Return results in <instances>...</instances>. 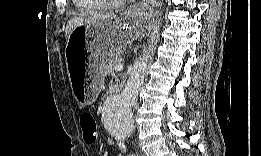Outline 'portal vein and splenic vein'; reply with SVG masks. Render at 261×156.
<instances>
[{
	"label": "portal vein and splenic vein",
	"instance_id": "obj_1",
	"mask_svg": "<svg viewBox=\"0 0 261 156\" xmlns=\"http://www.w3.org/2000/svg\"><path fill=\"white\" fill-rule=\"evenodd\" d=\"M114 68H115L116 71H121L123 69V64H121V63L117 64V65H115Z\"/></svg>",
	"mask_w": 261,
	"mask_h": 156
}]
</instances>
